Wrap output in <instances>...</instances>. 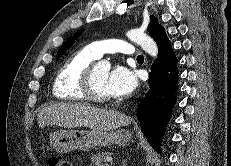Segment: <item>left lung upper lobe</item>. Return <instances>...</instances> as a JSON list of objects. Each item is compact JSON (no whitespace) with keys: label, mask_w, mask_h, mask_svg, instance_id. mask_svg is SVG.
I'll return each mask as SVG.
<instances>
[{"label":"left lung upper lobe","mask_w":231,"mask_h":166,"mask_svg":"<svg viewBox=\"0 0 231 166\" xmlns=\"http://www.w3.org/2000/svg\"><path fill=\"white\" fill-rule=\"evenodd\" d=\"M151 22L148 27V32L150 36L155 40L159 34L164 30V28L158 24V20L156 17L151 16ZM84 30H80L76 32L73 36H70L61 48L57 52V59H59L74 43L75 40L82 34Z\"/></svg>","instance_id":"obj_1"}]
</instances>
